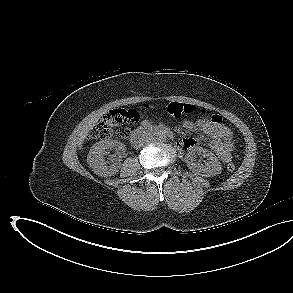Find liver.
<instances>
[{
  "mask_svg": "<svg viewBox=\"0 0 293 293\" xmlns=\"http://www.w3.org/2000/svg\"><path fill=\"white\" fill-rule=\"evenodd\" d=\"M107 112V110H100L92 115H90L86 121L84 122L81 131L78 135V147L81 149L84 140L86 139L89 131L93 129L95 124L99 121V119Z\"/></svg>",
  "mask_w": 293,
  "mask_h": 293,
  "instance_id": "1",
  "label": "liver"
}]
</instances>
